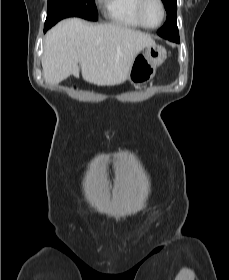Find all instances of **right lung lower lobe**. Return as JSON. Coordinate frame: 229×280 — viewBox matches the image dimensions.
Listing matches in <instances>:
<instances>
[{
    "instance_id": "right-lung-lower-lobe-1",
    "label": "right lung lower lobe",
    "mask_w": 229,
    "mask_h": 280,
    "mask_svg": "<svg viewBox=\"0 0 229 280\" xmlns=\"http://www.w3.org/2000/svg\"><path fill=\"white\" fill-rule=\"evenodd\" d=\"M47 30V27H44V31H46Z\"/></svg>"
}]
</instances>
